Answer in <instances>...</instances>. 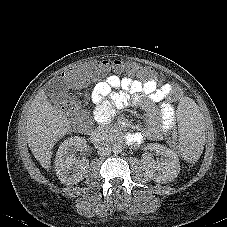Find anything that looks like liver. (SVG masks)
Here are the masks:
<instances>
[{
  "label": "liver",
  "instance_id": "1",
  "mask_svg": "<svg viewBox=\"0 0 227 227\" xmlns=\"http://www.w3.org/2000/svg\"><path fill=\"white\" fill-rule=\"evenodd\" d=\"M69 128L67 117L51 104L42 89L28 110L26 136L32 154L44 169H50L52 148Z\"/></svg>",
  "mask_w": 227,
  "mask_h": 227
}]
</instances>
